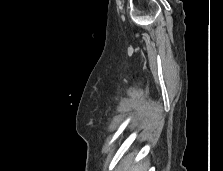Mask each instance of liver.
Segmentation results:
<instances>
[{"label": "liver", "mask_w": 223, "mask_h": 171, "mask_svg": "<svg viewBox=\"0 0 223 171\" xmlns=\"http://www.w3.org/2000/svg\"><path fill=\"white\" fill-rule=\"evenodd\" d=\"M133 157L134 155L132 154L123 162V165H124L123 171H147L148 164L142 163V162L136 165L134 168H132V170H130V164L133 160Z\"/></svg>", "instance_id": "liver-1"}]
</instances>
